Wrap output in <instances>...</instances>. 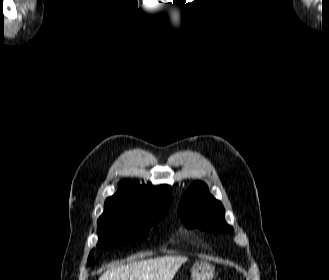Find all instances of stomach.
Returning a JSON list of instances; mask_svg holds the SVG:
<instances>
[{
  "label": "stomach",
  "mask_w": 329,
  "mask_h": 280,
  "mask_svg": "<svg viewBox=\"0 0 329 280\" xmlns=\"http://www.w3.org/2000/svg\"><path fill=\"white\" fill-rule=\"evenodd\" d=\"M192 280H212L214 276V267L206 262H196L191 269Z\"/></svg>",
  "instance_id": "0dacf381"
}]
</instances>
